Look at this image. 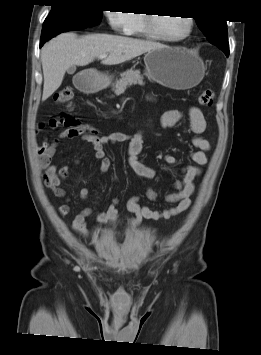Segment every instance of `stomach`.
<instances>
[{
	"label": "stomach",
	"mask_w": 261,
	"mask_h": 355,
	"mask_svg": "<svg viewBox=\"0 0 261 355\" xmlns=\"http://www.w3.org/2000/svg\"><path fill=\"white\" fill-rule=\"evenodd\" d=\"M146 74L163 86L184 90L198 85L204 77L203 61L191 51L179 47H161L149 51L144 57ZM110 77L90 72L85 87L90 90L107 87Z\"/></svg>",
	"instance_id": "1"
}]
</instances>
